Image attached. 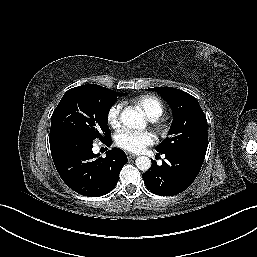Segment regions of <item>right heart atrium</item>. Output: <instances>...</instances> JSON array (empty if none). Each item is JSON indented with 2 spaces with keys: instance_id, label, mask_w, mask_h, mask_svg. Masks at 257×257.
Wrapping results in <instances>:
<instances>
[{
  "instance_id": "1",
  "label": "right heart atrium",
  "mask_w": 257,
  "mask_h": 257,
  "mask_svg": "<svg viewBox=\"0 0 257 257\" xmlns=\"http://www.w3.org/2000/svg\"><path fill=\"white\" fill-rule=\"evenodd\" d=\"M122 105L120 103L113 104L107 112V122L112 128H118L121 124Z\"/></svg>"
}]
</instances>
